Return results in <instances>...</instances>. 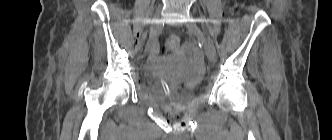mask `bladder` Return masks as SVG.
<instances>
[{
  "mask_svg": "<svg viewBox=\"0 0 332 140\" xmlns=\"http://www.w3.org/2000/svg\"><path fill=\"white\" fill-rule=\"evenodd\" d=\"M200 84L201 80L199 78H191L177 92L167 93L163 89L154 86L153 94L161 107L172 111H179L191 100Z\"/></svg>",
  "mask_w": 332,
  "mask_h": 140,
  "instance_id": "31cf9c89",
  "label": "bladder"
}]
</instances>
